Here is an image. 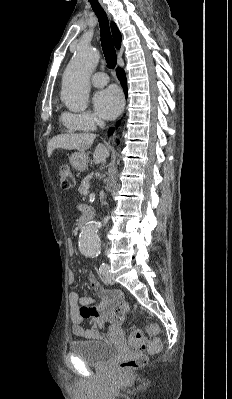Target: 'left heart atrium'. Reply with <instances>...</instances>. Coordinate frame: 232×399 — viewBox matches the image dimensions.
I'll return each instance as SVG.
<instances>
[{
	"mask_svg": "<svg viewBox=\"0 0 232 399\" xmlns=\"http://www.w3.org/2000/svg\"><path fill=\"white\" fill-rule=\"evenodd\" d=\"M121 94L113 87L97 93L94 97V107L97 115L104 120L115 119L122 110Z\"/></svg>",
	"mask_w": 232,
	"mask_h": 399,
	"instance_id": "obj_1",
	"label": "left heart atrium"
}]
</instances>
